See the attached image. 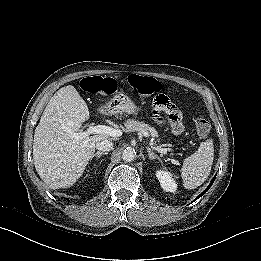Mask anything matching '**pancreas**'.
<instances>
[{"label":"pancreas","mask_w":261,"mask_h":261,"mask_svg":"<svg viewBox=\"0 0 261 261\" xmlns=\"http://www.w3.org/2000/svg\"><path fill=\"white\" fill-rule=\"evenodd\" d=\"M125 130L127 132H141V131H145L147 132L149 135H151L152 137H157L158 136V132L156 131L155 128L151 127L148 124H145L144 122H140V121H136L134 119H128L125 124Z\"/></svg>","instance_id":"cf45deb5"}]
</instances>
